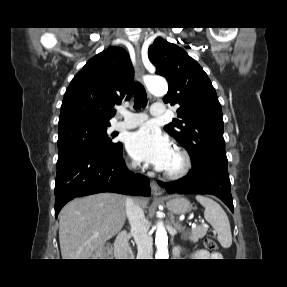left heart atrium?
Wrapping results in <instances>:
<instances>
[{
    "label": "left heart atrium",
    "mask_w": 287,
    "mask_h": 287,
    "mask_svg": "<svg viewBox=\"0 0 287 287\" xmlns=\"http://www.w3.org/2000/svg\"><path fill=\"white\" fill-rule=\"evenodd\" d=\"M127 150L137 161L164 170L172 153L169 139L158 130L142 127L127 139Z\"/></svg>",
    "instance_id": "39dd6f15"
}]
</instances>
